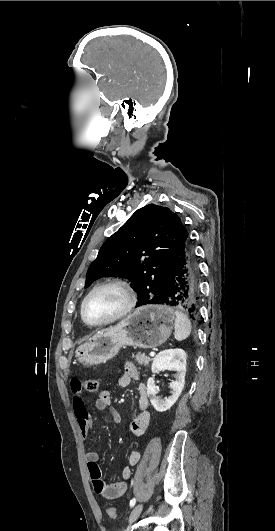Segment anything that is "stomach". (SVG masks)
Masks as SVG:
<instances>
[{
	"label": "stomach",
	"mask_w": 275,
	"mask_h": 531,
	"mask_svg": "<svg viewBox=\"0 0 275 531\" xmlns=\"http://www.w3.org/2000/svg\"><path fill=\"white\" fill-rule=\"evenodd\" d=\"M174 321L170 301H144L140 309L117 325L97 331L87 343L79 345L75 359L84 367H90L106 363L122 347L155 349L169 339Z\"/></svg>",
	"instance_id": "0dacf381"
}]
</instances>
